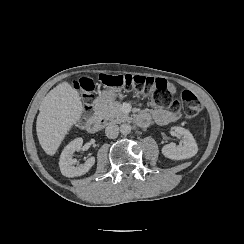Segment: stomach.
I'll return each mask as SVG.
<instances>
[{
  "label": "stomach",
  "instance_id": "0dacf381",
  "mask_svg": "<svg viewBox=\"0 0 244 244\" xmlns=\"http://www.w3.org/2000/svg\"><path fill=\"white\" fill-rule=\"evenodd\" d=\"M116 96L115 89H106L99 94L98 100L107 102Z\"/></svg>",
  "mask_w": 244,
  "mask_h": 244
}]
</instances>
